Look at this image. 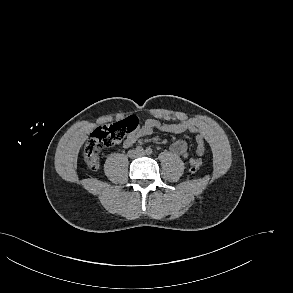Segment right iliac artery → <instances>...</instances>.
<instances>
[{
	"instance_id": "82829eb1",
	"label": "right iliac artery",
	"mask_w": 293,
	"mask_h": 293,
	"mask_svg": "<svg viewBox=\"0 0 293 293\" xmlns=\"http://www.w3.org/2000/svg\"><path fill=\"white\" fill-rule=\"evenodd\" d=\"M144 149H143V147L142 146H137L136 147V151L137 152H142Z\"/></svg>"
}]
</instances>
